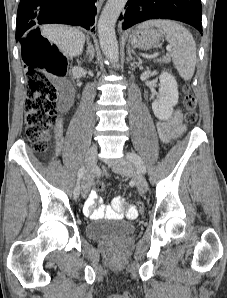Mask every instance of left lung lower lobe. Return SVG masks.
Wrapping results in <instances>:
<instances>
[{"mask_svg": "<svg viewBox=\"0 0 227 298\" xmlns=\"http://www.w3.org/2000/svg\"><path fill=\"white\" fill-rule=\"evenodd\" d=\"M120 19L123 29L149 19H171L195 27L202 34L200 0H128Z\"/></svg>", "mask_w": 227, "mask_h": 298, "instance_id": "1", "label": "left lung lower lobe"}]
</instances>
